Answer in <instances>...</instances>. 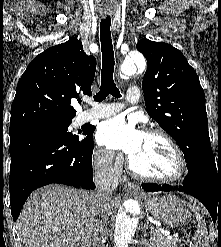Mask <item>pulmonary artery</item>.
I'll use <instances>...</instances> for the list:
<instances>
[{"label": "pulmonary artery", "mask_w": 221, "mask_h": 247, "mask_svg": "<svg viewBox=\"0 0 221 247\" xmlns=\"http://www.w3.org/2000/svg\"><path fill=\"white\" fill-rule=\"evenodd\" d=\"M140 99V90L137 87H132L127 91L126 100L128 103H136ZM124 107L121 103L98 104L93 108L84 111L81 114V121H89L93 119H102L110 117Z\"/></svg>", "instance_id": "1"}]
</instances>
